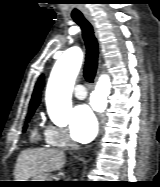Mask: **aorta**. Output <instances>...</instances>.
Returning <instances> with one entry per match:
<instances>
[{
	"mask_svg": "<svg viewBox=\"0 0 160 187\" xmlns=\"http://www.w3.org/2000/svg\"><path fill=\"white\" fill-rule=\"evenodd\" d=\"M82 65V52L70 48L56 61L46 89V105L52 120L59 121L71 110L72 91ZM111 82L108 75H101L91 95V105L97 112H104Z\"/></svg>",
	"mask_w": 160,
	"mask_h": 187,
	"instance_id": "aorta-1",
	"label": "aorta"
}]
</instances>
